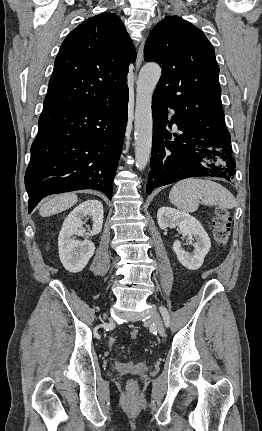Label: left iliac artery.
I'll return each mask as SVG.
<instances>
[{"instance_id":"obj_1","label":"left iliac artery","mask_w":262,"mask_h":431,"mask_svg":"<svg viewBox=\"0 0 262 431\" xmlns=\"http://www.w3.org/2000/svg\"><path fill=\"white\" fill-rule=\"evenodd\" d=\"M160 312L163 316L165 325L168 327L170 325V315L165 307H160Z\"/></svg>"}]
</instances>
